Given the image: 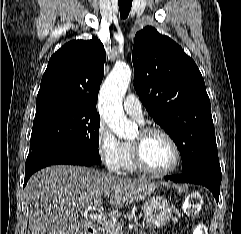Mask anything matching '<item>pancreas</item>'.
I'll use <instances>...</instances> for the list:
<instances>
[{"label": "pancreas", "mask_w": 241, "mask_h": 234, "mask_svg": "<svg viewBox=\"0 0 241 234\" xmlns=\"http://www.w3.org/2000/svg\"><path fill=\"white\" fill-rule=\"evenodd\" d=\"M103 234H123L122 233V227L119 231L114 230V229H110V228H105L103 231Z\"/></svg>", "instance_id": "1"}]
</instances>
